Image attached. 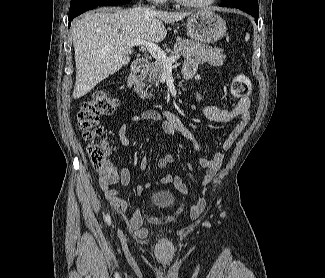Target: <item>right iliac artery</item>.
<instances>
[{"instance_id":"obj_1","label":"right iliac artery","mask_w":325,"mask_h":278,"mask_svg":"<svg viewBox=\"0 0 325 278\" xmlns=\"http://www.w3.org/2000/svg\"><path fill=\"white\" fill-rule=\"evenodd\" d=\"M106 222H107L108 224H110V223H111V220H110V217H109V215H107V216H106Z\"/></svg>"}]
</instances>
